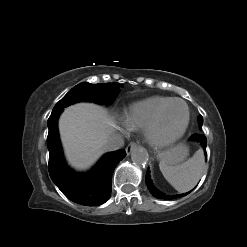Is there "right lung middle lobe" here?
<instances>
[{
	"instance_id": "obj_1",
	"label": "right lung middle lobe",
	"mask_w": 247,
	"mask_h": 247,
	"mask_svg": "<svg viewBox=\"0 0 247 247\" xmlns=\"http://www.w3.org/2000/svg\"><path fill=\"white\" fill-rule=\"evenodd\" d=\"M121 84L118 83H100L89 84L83 82L69 91L54 107V109L64 108L80 101H94L101 104L111 103L118 92Z\"/></svg>"
}]
</instances>
